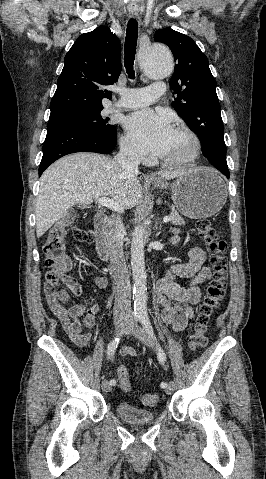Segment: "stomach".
Returning <instances> with one entry per match:
<instances>
[{"mask_svg": "<svg viewBox=\"0 0 266 479\" xmlns=\"http://www.w3.org/2000/svg\"><path fill=\"white\" fill-rule=\"evenodd\" d=\"M160 188L169 185L154 180ZM171 197L178 211L191 219L207 218L225 204L227 189L218 173L209 167H198L179 176L171 185Z\"/></svg>", "mask_w": 266, "mask_h": 479, "instance_id": "1", "label": "stomach"}]
</instances>
